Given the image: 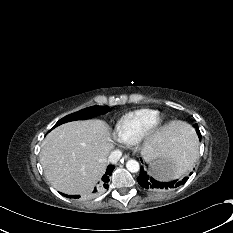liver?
<instances>
[{
	"label": "liver",
	"instance_id": "6515ba94",
	"mask_svg": "<svg viewBox=\"0 0 233 233\" xmlns=\"http://www.w3.org/2000/svg\"><path fill=\"white\" fill-rule=\"evenodd\" d=\"M183 123L171 122L151 136L142 147L150 160L159 153L172 155ZM40 162L51 185L66 194H83L101 179L107 156L113 148L110 129L104 121L69 122L52 130L42 142Z\"/></svg>",
	"mask_w": 233,
	"mask_h": 233
}]
</instances>
